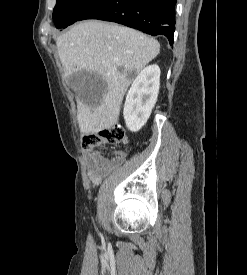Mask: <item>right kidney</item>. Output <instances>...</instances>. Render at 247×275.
I'll list each match as a JSON object with an SVG mask.
<instances>
[{"mask_svg": "<svg viewBox=\"0 0 247 275\" xmlns=\"http://www.w3.org/2000/svg\"><path fill=\"white\" fill-rule=\"evenodd\" d=\"M159 86L158 65H149L138 73L126 95L123 110L124 120L130 131H139L147 122L156 103Z\"/></svg>", "mask_w": 247, "mask_h": 275, "instance_id": "right-kidney-1", "label": "right kidney"}]
</instances>
